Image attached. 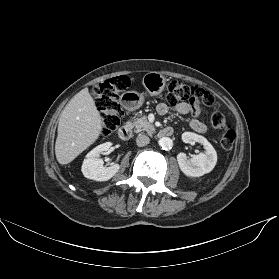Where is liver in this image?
I'll return each instance as SVG.
<instances>
[{"label": "liver", "mask_w": 279, "mask_h": 279, "mask_svg": "<svg viewBox=\"0 0 279 279\" xmlns=\"http://www.w3.org/2000/svg\"><path fill=\"white\" fill-rule=\"evenodd\" d=\"M103 121L87 88L78 92L63 109L55 143L57 161L72 162L100 136Z\"/></svg>", "instance_id": "1"}]
</instances>
